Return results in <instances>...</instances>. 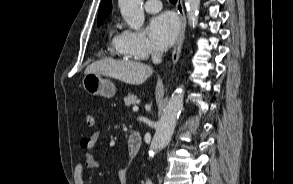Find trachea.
Here are the masks:
<instances>
[{"instance_id":"trachea-1","label":"trachea","mask_w":293,"mask_h":184,"mask_svg":"<svg viewBox=\"0 0 293 184\" xmlns=\"http://www.w3.org/2000/svg\"><path fill=\"white\" fill-rule=\"evenodd\" d=\"M170 2H172V3H176L177 2V0H169Z\"/></svg>"}]
</instances>
